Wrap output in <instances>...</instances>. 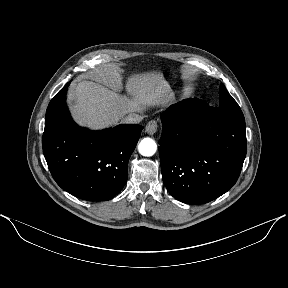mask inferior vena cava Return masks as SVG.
Masks as SVG:
<instances>
[{
    "label": "inferior vena cava",
    "instance_id": "obj_1",
    "mask_svg": "<svg viewBox=\"0 0 288 288\" xmlns=\"http://www.w3.org/2000/svg\"><path fill=\"white\" fill-rule=\"evenodd\" d=\"M142 120V117L138 114H130L123 121L128 124H137Z\"/></svg>",
    "mask_w": 288,
    "mask_h": 288
}]
</instances>
